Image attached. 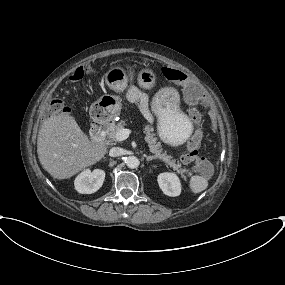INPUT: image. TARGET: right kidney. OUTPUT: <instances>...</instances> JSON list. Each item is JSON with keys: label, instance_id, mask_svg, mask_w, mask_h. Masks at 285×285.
Returning <instances> with one entry per match:
<instances>
[{"label": "right kidney", "instance_id": "ca27d5eb", "mask_svg": "<svg viewBox=\"0 0 285 285\" xmlns=\"http://www.w3.org/2000/svg\"><path fill=\"white\" fill-rule=\"evenodd\" d=\"M105 180V172L101 169L81 172L75 179V189L81 194H92L99 190Z\"/></svg>", "mask_w": 285, "mask_h": 285}]
</instances>
